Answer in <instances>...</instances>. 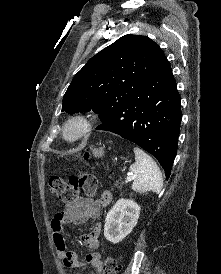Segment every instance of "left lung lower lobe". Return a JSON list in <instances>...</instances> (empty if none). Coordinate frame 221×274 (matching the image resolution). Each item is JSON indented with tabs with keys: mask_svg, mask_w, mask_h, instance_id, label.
<instances>
[{
	"mask_svg": "<svg viewBox=\"0 0 221 274\" xmlns=\"http://www.w3.org/2000/svg\"><path fill=\"white\" fill-rule=\"evenodd\" d=\"M180 96L167 59L146 79L141 91L100 117L97 130L111 131L154 155L168 179L177 153Z\"/></svg>",
	"mask_w": 221,
	"mask_h": 274,
	"instance_id": "0a47b994",
	"label": "left lung lower lobe"
}]
</instances>
